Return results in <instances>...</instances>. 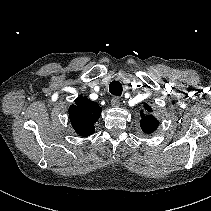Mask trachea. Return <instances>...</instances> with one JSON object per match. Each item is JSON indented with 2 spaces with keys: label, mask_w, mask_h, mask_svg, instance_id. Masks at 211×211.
<instances>
[{
  "label": "trachea",
  "mask_w": 211,
  "mask_h": 211,
  "mask_svg": "<svg viewBox=\"0 0 211 211\" xmlns=\"http://www.w3.org/2000/svg\"><path fill=\"white\" fill-rule=\"evenodd\" d=\"M109 92L112 95L120 96L122 94V84L119 81H116V80L112 81L109 84Z\"/></svg>",
  "instance_id": "obj_1"
}]
</instances>
